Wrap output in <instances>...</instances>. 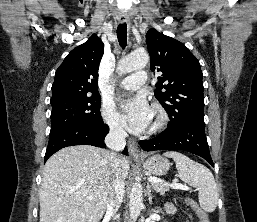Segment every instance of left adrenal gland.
Instances as JSON below:
<instances>
[{
  "mask_svg": "<svg viewBox=\"0 0 257 222\" xmlns=\"http://www.w3.org/2000/svg\"><path fill=\"white\" fill-rule=\"evenodd\" d=\"M150 188H151V186H150L149 183H148V184H147V195H148L149 203L152 204V194H151Z\"/></svg>",
  "mask_w": 257,
  "mask_h": 222,
  "instance_id": "obj_1",
  "label": "left adrenal gland"
}]
</instances>
